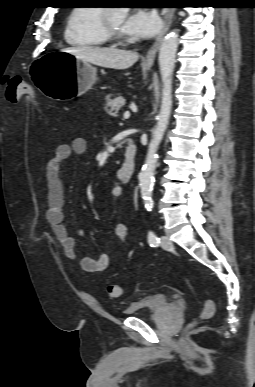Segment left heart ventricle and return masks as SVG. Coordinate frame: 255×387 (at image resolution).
I'll return each mask as SVG.
<instances>
[{"label": "left heart ventricle", "mask_w": 255, "mask_h": 387, "mask_svg": "<svg viewBox=\"0 0 255 387\" xmlns=\"http://www.w3.org/2000/svg\"><path fill=\"white\" fill-rule=\"evenodd\" d=\"M110 18H111L112 25L117 30L122 31V26L125 19L124 14L118 10H112L110 13Z\"/></svg>", "instance_id": "1"}]
</instances>
